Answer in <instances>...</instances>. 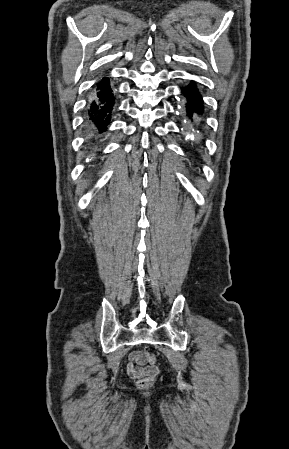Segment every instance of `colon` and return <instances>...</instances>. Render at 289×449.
Returning a JSON list of instances; mask_svg holds the SVG:
<instances>
[{"mask_svg": "<svg viewBox=\"0 0 289 449\" xmlns=\"http://www.w3.org/2000/svg\"><path fill=\"white\" fill-rule=\"evenodd\" d=\"M146 360L149 364L154 365L156 362V356L152 353L146 352ZM155 375L156 374H150V375L144 376L142 378H139L137 381V385L140 388L150 387L155 381Z\"/></svg>", "mask_w": 289, "mask_h": 449, "instance_id": "obj_1", "label": "colon"}]
</instances>
